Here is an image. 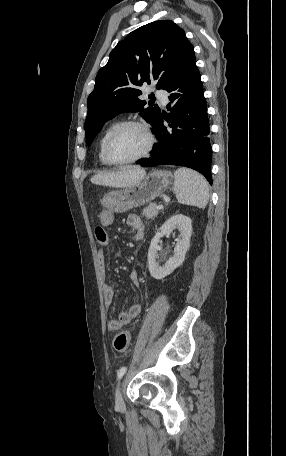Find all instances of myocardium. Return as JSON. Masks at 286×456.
Segmentation results:
<instances>
[{"instance_id":"1","label":"myocardium","mask_w":286,"mask_h":456,"mask_svg":"<svg viewBox=\"0 0 286 456\" xmlns=\"http://www.w3.org/2000/svg\"><path fill=\"white\" fill-rule=\"evenodd\" d=\"M128 127H139L144 131V133L146 134L147 140H148L146 149L142 154H140L139 156L134 157L132 159L124 160V161L115 160L110 153V147H111L112 141L122 130H124L125 128H128ZM154 144H155V137H154V134H153L150 126L147 123H145L143 121H139V120H127V121L119 123L108 135V137L105 141V145H104V157H105V160L110 165H113V166H124V165H128V164H132V163L138 162V161L148 157L154 148Z\"/></svg>"}]
</instances>
